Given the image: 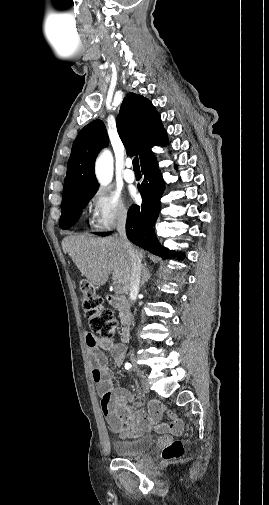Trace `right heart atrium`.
<instances>
[{"mask_svg": "<svg viewBox=\"0 0 269 505\" xmlns=\"http://www.w3.org/2000/svg\"><path fill=\"white\" fill-rule=\"evenodd\" d=\"M90 224L99 231H108L128 216V207L119 193L110 188L95 190L89 202Z\"/></svg>", "mask_w": 269, "mask_h": 505, "instance_id": "obj_1", "label": "right heart atrium"}]
</instances>
